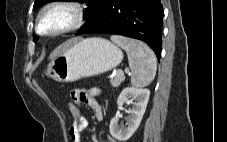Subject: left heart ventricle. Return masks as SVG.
<instances>
[{
    "mask_svg": "<svg viewBox=\"0 0 227 142\" xmlns=\"http://www.w3.org/2000/svg\"><path fill=\"white\" fill-rule=\"evenodd\" d=\"M73 20L72 12L68 9H52L45 14L40 26L41 31L51 32L60 30L71 24Z\"/></svg>",
    "mask_w": 227,
    "mask_h": 142,
    "instance_id": "obj_1",
    "label": "left heart ventricle"
}]
</instances>
